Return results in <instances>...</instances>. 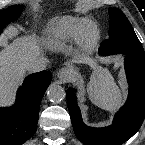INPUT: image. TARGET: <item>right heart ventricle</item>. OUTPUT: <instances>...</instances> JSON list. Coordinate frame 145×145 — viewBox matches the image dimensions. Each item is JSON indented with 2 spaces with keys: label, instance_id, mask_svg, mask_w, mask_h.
Returning <instances> with one entry per match:
<instances>
[{
  "label": "right heart ventricle",
  "instance_id": "1",
  "mask_svg": "<svg viewBox=\"0 0 145 145\" xmlns=\"http://www.w3.org/2000/svg\"><path fill=\"white\" fill-rule=\"evenodd\" d=\"M91 30H96V26L89 19L61 18L51 30L48 45L54 49L62 50L71 43L85 41L87 34Z\"/></svg>",
  "mask_w": 145,
  "mask_h": 145
}]
</instances>
